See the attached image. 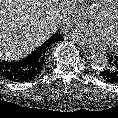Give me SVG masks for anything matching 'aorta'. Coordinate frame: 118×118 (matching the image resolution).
I'll use <instances>...</instances> for the list:
<instances>
[{
	"label": "aorta",
	"instance_id": "762f6f07",
	"mask_svg": "<svg viewBox=\"0 0 118 118\" xmlns=\"http://www.w3.org/2000/svg\"><path fill=\"white\" fill-rule=\"evenodd\" d=\"M91 67L95 70H103L108 65L107 57L102 53H94L90 59Z\"/></svg>",
	"mask_w": 118,
	"mask_h": 118
}]
</instances>
